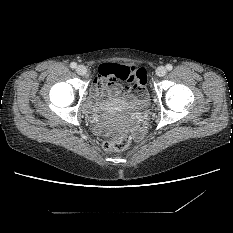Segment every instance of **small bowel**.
Instances as JSON below:
<instances>
[{
	"mask_svg": "<svg viewBox=\"0 0 233 233\" xmlns=\"http://www.w3.org/2000/svg\"><path fill=\"white\" fill-rule=\"evenodd\" d=\"M117 67H124L128 70L130 77L135 78L138 90L144 94L145 90V70L137 65L126 66L123 64L112 63V62H101L98 70L99 75L95 78L92 87V95L89 101V106H94L99 103L104 95H123L133 100L135 96L131 91H124L123 87L114 81V71ZM99 123H95V130L99 131Z\"/></svg>",
	"mask_w": 233,
	"mask_h": 233,
	"instance_id": "obj_1",
	"label": "small bowel"
}]
</instances>
